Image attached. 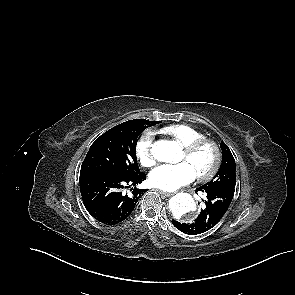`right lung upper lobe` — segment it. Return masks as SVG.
I'll use <instances>...</instances> for the list:
<instances>
[{
    "label": "right lung upper lobe",
    "instance_id": "obj_1",
    "mask_svg": "<svg viewBox=\"0 0 295 295\" xmlns=\"http://www.w3.org/2000/svg\"><path fill=\"white\" fill-rule=\"evenodd\" d=\"M132 120H129V121H127V122H124V123H129V122H131ZM124 123H122V124H124Z\"/></svg>",
    "mask_w": 295,
    "mask_h": 295
}]
</instances>
